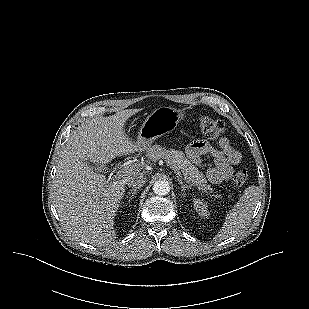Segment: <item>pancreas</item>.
I'll list each match as a JSON object with an SVG mask.
<instances>
[{
    "instance_id": "cf45deb5",
    "label": "pancreas",
    "mask_w": 309,
    "mask_h": 309,
    "mask_svg": "<svg viewBox=\"0 0 309 309\" xmlns=\"http://www.w3.org/2000/svg\"><path fill=\"white\" fill-rule=\"evenodd\" d=\"M146 155L152 161L159 159L169 161L176 169L181 170L188 183L197 186L202 192L213 193L211 186L207 185L205 176L185 157L183 152L175 149L167 150L160 145H153L147 149ZM213 196L220 198L221 195L214 193Z\"/></svg>"
}]
</instances>
